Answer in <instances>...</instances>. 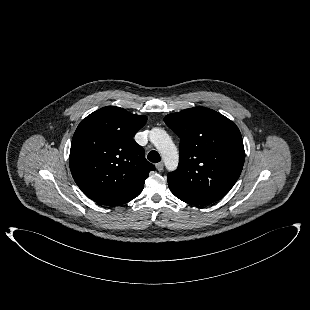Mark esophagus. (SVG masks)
Segmentation results:
<instances>
[{
    "instance_id": "1",
    "label": "esophagus",
    "mask_w": 310,
    "mask_h": 310,
    "mask_svg": "<svg viewBox=\"0 0 310 310\" xmlns=\"http://www.w3.org/2000/svg\"><path fill=\"white\" fill-rule=\"evenodd\" d=\"M163 168H164V165H163L162 162H159V163L156 164V169H157L159 172L163 171Z\"/></svg>"
}]
</instances>
